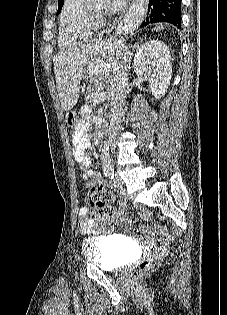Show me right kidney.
Returning <instances> with one entry per match:
<instances>
[{
  "mask_svg": "<svg viewBox=\"0 0 227 315\" xmlns=\"http://www.w3.org/2000/svg\"><path fill=\"white\" fill-rule=\"evenodd\" d=\"M171 56L168 47L153 40L138 48L134 57V71L148 79L155 99L165 95L172 77Z\"/></svg>",
  "mask_w": 227,
  "mask_h": 315,
  "instance_id": "ca27d5eb",
  "label": "right kidney"
}]
</instances>
